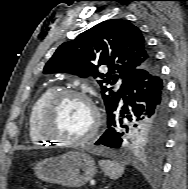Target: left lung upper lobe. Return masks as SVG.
<instances>
[{"mask_svg":"<svg viewBox=\"0 0 188 189\" xmlns=\"http://www.w3.org/2000/svg\"><path fill=\"white\" fill-rule=\"evenodd\" d=\"M155 59L138 27L121 19L103 21L81 33L76 39L63 43L44 67V73L69 72L80 77H99L102 97L109 116L123 97L126 82L137 70ZM106 65L108 73L98 72ZM118 73V74H117ZM123 79L121 88L114 92L104 83L114 84ZM166 125L150 124L131 129L128 148L146 147L159 153L164 144Z\"/></svg>","mask_w":188,"mask_h":189,"instance_id":"1","label":"left lung upper lobe"}]
</instances>
